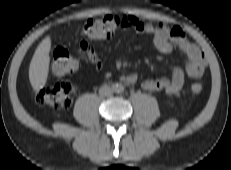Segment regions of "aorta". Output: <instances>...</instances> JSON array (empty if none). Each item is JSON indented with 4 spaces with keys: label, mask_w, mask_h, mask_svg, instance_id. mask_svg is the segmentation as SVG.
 Masks as SVG:
<instances>
[{
    "label": "aorta",
    "mask_w": 231,
    "mask_h": 170,
    "mask_svg": "<svg viewBox=\"0 0 231 170\" xmlns=\"http://www.w3.org/2000/svg\"><path fill=\"white\" fill-rule=\"evenodd\" d=\"M124 90V87L122 85H116L114 88V91L117 93H120Z\"/></svg>",
    "instance_id": "1"
}]
</instances>
